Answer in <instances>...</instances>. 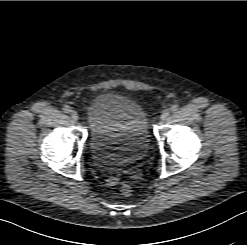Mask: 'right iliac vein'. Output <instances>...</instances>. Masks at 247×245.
<instances>
[{
    "label": "right iliac vein",
    "mask_w": 247,
    "mask_h": 245,
    "mask_svg": "<svg viewBox=\"0 0 247 245\" xmlns=\"http://www.w3.org/2000/svg\"><path fill=\"white\" fill-rule=\"evenodd\" d=\"M70 116H71V118H72L74 121H77V120L79 119L78 113H77L76 111H74V110H71V111H70Z\"/></svg>",
    "instance_id": "63e3f726"
}]
</instances>
